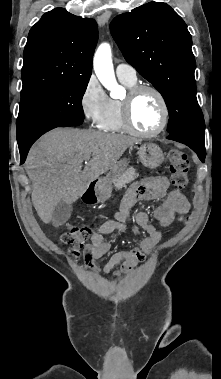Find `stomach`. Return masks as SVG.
Listing matches in <instances>:
<instances>
[{"mask_svg": "<svg viewBox=\"0 0 221 379\" xmlns=\"http://www.w3.org/2000/svg\"><path fill=\"white\" fill-rule=\"evenodd\" d=\"M138 157L140 162L145 167L150 169L157 168L164 160V155L161 148L157 144L151 142L144 143L138 148ZM127 166V159L124 158L120 160L106 175V177L98 181L95 192L99 200H104L110 196L113 179L116 178L117 175L123 173Z\"/></svg>", "mask_w": 221, "mask_h": 379, "instance_id": "stomach-1", "label": "stomach"}]
</instances>
